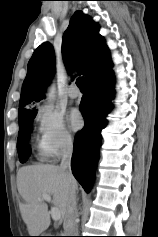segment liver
<instances>
[{"mask_svg":"<svg viewBox=\"0 0 158 237\" xmlns=\"http://www.w3.org/2000/svg\"><path fill=\"white\" fill-rule=\"evenodd\" d=\"M17 189L25 202L19 203L21 216L30 236H39L50 224L48 206L42 195L53 197L55 208L64 219L70 193L77 190L75 179H69L66 172L59 166L51 164H36L23 166L17 173Z\"/></svg>","mask_w":158,"mask_h":237,"instance_id":"obj_1","label":"liver"}]
</instances>
